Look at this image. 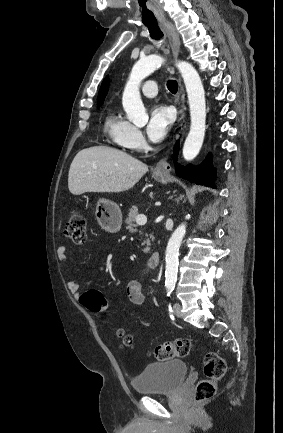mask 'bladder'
I'll list each match as a JSON object with an SVG mask.
<instances>
[{
    "label": "bladder",
    "mask_w": 283,
    "mask_h": 433,
    "mask_svg": "<svg viewBox=\"0 0 283 433\" xmlns=\"http://www.w3.org/2000/svg\"><path fill=\"white\" fill-rule=\"evenodd\" d=\"M188 371L181 360H167L147 365L132 381L136 393L174 392L180 387Z\"/></svg>",
    "instance_id": "31cf9c89"
}]
</instances>
